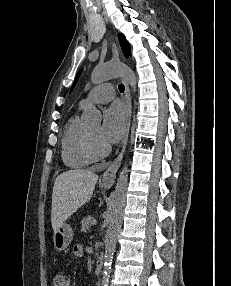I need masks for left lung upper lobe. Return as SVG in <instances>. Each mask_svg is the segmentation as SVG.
<instances>
[{
  "instance_id": "5c2ea615",
  "label": "left lung upper lobe",
  "mask_w": 231,
  "mask_h": 286,
  "mask_svg": "<svg viewBox=\"0 0 231 286\" xmlns=\"http://www.w3.org/2000/svg\"><path fill=\"white\" fill-rule=\"evenodd\" d=\"M119 37V41H120V45H121V48H122V51L124 53V55L126 57H128L130 55V46H129V43L126 41L125 37L122 35V34H119L118 35ZM82 70H80L76 76V79H75V82L73 84V87L74 85L76 84L77 80H78V77L80 76V73H81ZM72 87V88H73Z\"/></svg>"
}]
</instances>
